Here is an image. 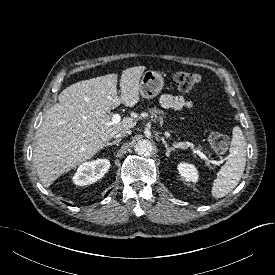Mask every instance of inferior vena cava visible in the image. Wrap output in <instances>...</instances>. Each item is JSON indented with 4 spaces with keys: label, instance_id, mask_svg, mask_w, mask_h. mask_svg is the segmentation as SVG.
<instances>
[{
    "label": "inferior vena cava",
    "instance_id": "602c4592",
    "mask_svg": "<svg viewBox=\"0 0 275 275\" xmlns=\"http://www.w3.org/2000/svg\"><path fill=\"white\" fill-rule=\"evenodd\" d=\"M129 134H131V130L125 129V130H121L120 132H118L114 137L115 138H120V137H125Z\"/></svg>",
    "mask_w": 275,
    "mask_h": 275
}]
</instances>
